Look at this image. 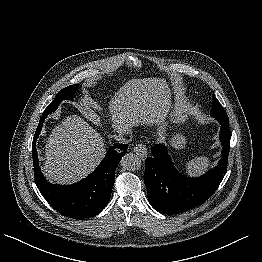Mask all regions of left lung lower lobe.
I'll use <instances>...</instances> for the list:
<instances>
[{"instance_id":"left-lung-lower-lobe-1","label":"left lung lower lobe","mask_w":262,"mask_h":262,"mask_svg":"<svg viewBox=\"0 0 262 262\" xmlns=\"http://www.w3.org/2000/svg\"><path fill=\"white\" fill-rule=\"evenodd\" d=\"M217 120L221 124L222 156L218 166L201 177L180 174L167 148L159 144L152 147V157L145 161L144 182L155 210L169 215L182 213L201 205L216 191L227 172L231 139L228 116Z\"/></svg>"}]
</instances>
